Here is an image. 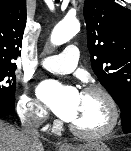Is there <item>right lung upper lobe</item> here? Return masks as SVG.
Masks as SVG:
<instances>
[{"label":"right lung upper lobe","instance_id":"cb5924a9","mask_svg":"<svg viewBox=\"0 0 131 151\" xmlns=\"http://www.w3.org/2000/svg\"><path fill=\"white\" fill-rule=\"evenodd\" d=\"M26 26V0L0 1V67H16L12 60L19 48Z\"/></svg>","mask_w":131,"mask_h":151}]
</instances>
